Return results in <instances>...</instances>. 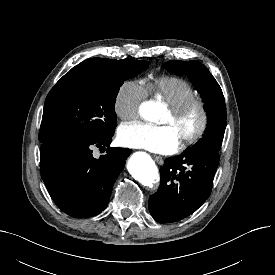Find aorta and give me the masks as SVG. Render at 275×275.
Returning <instances> with one entry per match:
<instances>
[{"instance_id": "aorta-1", "label": "aorta", "mask_w": 275, "mask_h": 275, "mask_svg": "<svg viewBox=\"0 0 275 275\" xmlns=\"http://www.w3.org/2000/svg\"><path fill=\"white\" fill-rule=\"evenodd\" d=\"M141 115L152 122L160 119L161 109L155 102H147L141 106ZM130 173L143 185L150 186L158 178V169L154 161L147 155L136 153L128 162Z\"/></svg>"}]
</instances>
